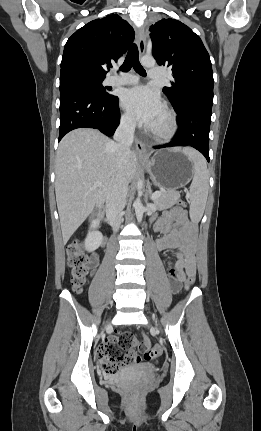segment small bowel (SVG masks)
I'll list each match as a JSON object with an SVG mask.
<instances>
[{
  "instance_id": "small-bowel-1",
  "label": "small bowel",
  "mask_w": 261,
  "mask_h": 431,
  "mask_svg": "<svg viewBox=\"0 0 261 431\" xmlns=\"http://www.w3.org/2000/svg\"><path fill=\"white\" fill-rule=\"evenodd\" d=\"M155 230L163 234L156 241L157 249L179 248L176 261L168 270L172 290L176 292L180 283L188 275L195 274L196 227L189 222L187 214L182 208L173 207L156 220ZM98 262L99 257L94 254L90 259V266L95 268ZM151 347L152 342L146 340L139 353L145 356Z\"/></svg>"
}]
</instances>
